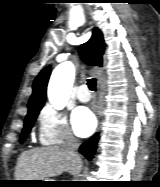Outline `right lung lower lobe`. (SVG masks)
<instances>
[{
  "mask_svg": "<svg viewBox=\"0 0 160 187\" xmlns=\"http://www.w3.org/2000/svg\"><path fill=\"white\" fill-rule=\"evenodd\" d=\"M98 140H99V133H96L93 137H91L89 140H87L80 146L79 148L80 153L84 155L85 158H87L88 160L93 159L97 149Z\"/></svg>",
  "mask_w": 160,
  "mask_h": 187,
  "instance_id": "right-lung-lower-lobe-1",
  "label": "right lung lower lobe"
}]
</instances>
